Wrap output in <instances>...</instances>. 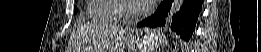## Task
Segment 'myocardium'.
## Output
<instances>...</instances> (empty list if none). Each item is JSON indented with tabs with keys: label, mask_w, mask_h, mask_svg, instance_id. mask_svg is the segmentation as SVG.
Wrapping results in <instances>:
<instances>
[{
	"label": "myocardium",
	"mask_w": 261,
	"mask_h": 52,
	"mask_svg": "<svg viewBox=\"0 0 261 52\" xmlns=\"http://www.w3.org/2000/svg\"><path fill=\"white\" fill-rule=\"evenodd\" d=\"M128 2L132 1H119L118 6H119V12L122 16V19L125 21H131L134 18L141 16L145 14L148 11V8H142L140 5H136L133 10H131L128 7Z\"/></svg>",
	"instance_id": "1"
}]
</instances>
